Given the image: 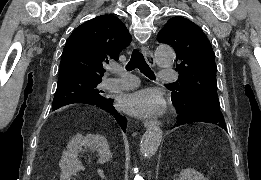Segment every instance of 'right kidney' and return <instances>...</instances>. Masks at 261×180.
<instances>
[{"mask_svg":"<svg viewBox=\"0 0 261 180\" xmlns=\"http://www.w3.org/2000/svg\"><path fill=\"white\" fill-rule=\"evenodd\" d=\"M82 146H88V148H95L99 154V164H105L109 162L111 158L108 142L101 134H87V136H74L70 140L67 146V152H65L63 158L59 162L61 168V180H69L70 176L78 170L79 160L77 158L79 150Z\"/></svg>","mask_w":261,"mask_h":180,"instance_id":"right-kidney-1","label":"right kidney"}]
</instances>
